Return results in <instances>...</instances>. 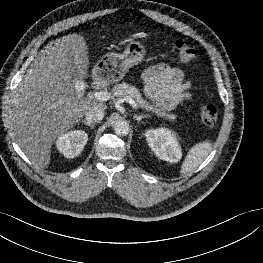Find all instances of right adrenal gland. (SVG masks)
<instances>
[{"mask_svg":"<svg viewBox=\"0 0 263 263\" xmlns=\"http://www.w3.org/2000/svg\"><path fill=\"white\" fill-rule=\"evenodd\" d=\"M82 123L85 124L86 126L91 127V128H94V127H95V124L89 123V122H87V121H85V120H82Z\"/></svg>","mask_w":263,"mask_h":263,"instance_id":"right-adrenal-gland-1","label":"right adrenal gland"}]
</instances>
